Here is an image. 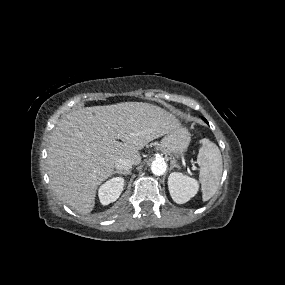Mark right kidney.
Returning a JSON list of instances; mask_svg holds the SVG:
<instances>
[{
    "instance_id": "obj_1",
    "label": "right kidney",
    "mask_w": 285,
    "mask_h": 285,
    "mask_svg": "<svg viewBox=\"0 0 285 285\" xmlns=\"http://www.w3.org/2000/svg\"><path fill=\"white\" fill-rule=\"evenodd\" d=\"M124 187V179L115 177L100 186L98 196L102 205H108L116 201Z\"/></svg>"
}]
</instances>
